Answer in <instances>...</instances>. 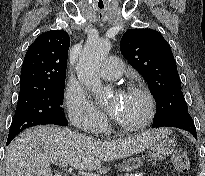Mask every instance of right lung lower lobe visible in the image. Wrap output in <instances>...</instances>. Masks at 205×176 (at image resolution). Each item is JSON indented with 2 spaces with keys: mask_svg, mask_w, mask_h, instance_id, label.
Masks as SVG:
<instances>
[{
  "mask_svg": "<svg viewBox=\"0 0 205 176\" xmlns=\"http://www.w3.org/2000/svg\"><path fill=\"white\" fill-rule=\"evenodd\" d=\"M13 139V138H12ZM12 139L7 140V145L12 141Z\"/></svg>",
  "mask_w": 205,
  "mask_h": 176,
  "instance_id": "obj_1",
  "label": "right lung lower lobe"
}]
</instances>
